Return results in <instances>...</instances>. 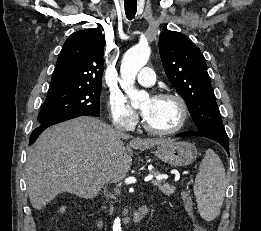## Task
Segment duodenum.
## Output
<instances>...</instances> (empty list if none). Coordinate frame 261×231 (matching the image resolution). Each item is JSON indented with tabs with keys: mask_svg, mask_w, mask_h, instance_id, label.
Here are the masks:
<instances>
[{
	"mask_svg": "<svg viewBox=\"0 0 261 231\" xmlns=\"http://www.w3.org/2000/svg\"><path fill=\"white\" fill-rule=\"evenodd\" d=\"M147 213V205L146 204H142L140 205L134 212L133 214V221L135 223H138L140 221H142Z\"/></svg>",
	"mask_w": 261,
	"mask_h": 231,
	"instance_id": "duodenum-1",
	"label": "duodenum"
}]
</instances>
